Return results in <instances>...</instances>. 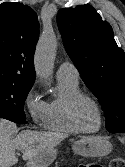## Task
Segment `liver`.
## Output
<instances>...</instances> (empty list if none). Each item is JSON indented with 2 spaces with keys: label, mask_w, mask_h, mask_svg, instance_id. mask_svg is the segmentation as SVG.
Masks as SVG:
<instances>
[{
  "label": "liver",
  "mask_w": 125,
  "mask_h": 167,
  "mask_svg": "<svg viewBox=\"0 0 125 167\" xmlns=\"http://www.w3.org/2000/svg\"><path fill=\"white\" fill-rule=\"evenodd\" d=\"M17 133L15 123L0 119V167H11L18 162L15 150L22 151L23 160H30L46 149L54 148L67 137L59 132H36L31 130Z\"/></svg>",
  "instance_id": "obj_1"
}]
</instances>
